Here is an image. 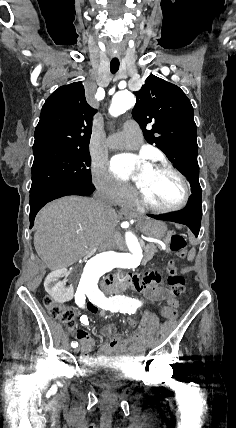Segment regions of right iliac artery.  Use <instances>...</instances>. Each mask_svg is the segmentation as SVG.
<instances>
[{"label": "right iliac artery", "mask_w": 236, "mask_h": 428, "mask_svg": "<svg viewBox=\"0 0 236 428\" xmlns=\"http://www.w3.org/2000/svg\"><path fill=\"white\" fill-rule=\"evenodd\" d=\"M85 299H86V297H85V293L84 292H76L75 293V303L79 306V307H84V304H85ZM71 346L73 347V348H76L77 346H78V343L77 342H72L71 343Z\"/></svg>", "instance_id": "right-iliac-artery-1"}]
</instances>
